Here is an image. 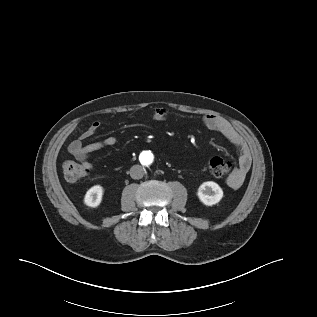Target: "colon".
<instances>
[{"instance_id":"5ec220e1","label":"colon","mask_w":317,"mask_h":317,"mask_svg":"<svg viewBox=\"0 0 317 317\" xmlns=\"http://www.w3.org/2000/svg\"><path fill=\"white\" fill-rule=\"evenodd\" d=\"M63 173L70 182H76L85 177L89 169L82 164L67 160L63 163ZM209 173L216 178L227 175L231 170V162L224 157H214L208 163Z\"/></svg>"}]
</instances>
